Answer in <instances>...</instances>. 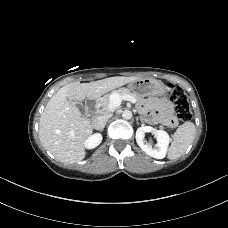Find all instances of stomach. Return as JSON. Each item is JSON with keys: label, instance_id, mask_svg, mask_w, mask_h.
Wrapping results in <instances>:
<instances>
[{"label": "stomach", "instance_id": "stomach-1", "mask_svg": "<svg viewBox=\"0 0 228 228\" xmlns=\"http://www.w3.org/2000/svg\"><path fill=\"white\" fill-rule=\"evenodd\" d=\"M128 88L139 94L141 97L166 95V89L163 83L153 78H142L130 82Z\"/></svg>", "mask_w": 228, "mask_h": 228}]
</instances>
